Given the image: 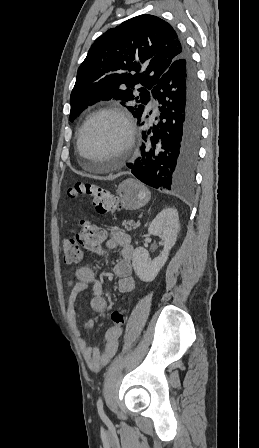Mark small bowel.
<instances>
[{"instance_id": "1", "label": "small bowel", "mask_w": 259, "mask_h": 448, "mask_svg": "<svg viewBox=\"0 0 259 448\" xmlns=\"http://www.w3.org/2000/svg\"><path fill=\"white\" fill-rule=\"evenodd\" d=\"M120 247V259L115 264L113 272L118 278L116 289L121 294H129L133 291L135 282L132 276L133 246L130 236L123 231L111 232L104 245H98L94 250V256L103 257L108 251ZM70 292L66 301V315L73 331L80 335L77 327L76 300L79 294L84 292L90 285L92 295L90 307L96 312H104L107 308V302L103 297V285L97 272L88 264H83L76 269L75 280L71 279L67 283ZM86 328L93 327V320L85 322ZM122 333V327H109L104 335V348L100 350L97 347H91L83 338L79 339V346L83 357L92 371H99L106 366L118 349L119 338Z\"/></svg>"}]
</instances>
